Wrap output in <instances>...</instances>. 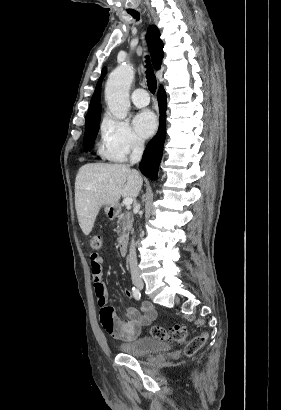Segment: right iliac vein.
I'll return each mask as SVG.
<instances>
[{"mask_svg": "<svg viewBox=\"0 0 281 410\" xmlns=\"http://www.w3.org/2000/svg\"><path fill=\"white\" fill-rule=\"evenodd\" d=\"M135 285H136L138 288H142V287H143V283H142V282H136Z\"/></svg>", "mask_w": 281, "mask_h": 410, "instance_id": "obj_1", "label": "right iliac vein"}]
</instances>
